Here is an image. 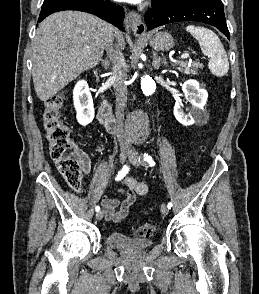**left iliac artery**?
I'll use <instances>...</instances> for the list:
<instances>
[{
    "mask_svg": "<svg viewBox=\"0 0 259 294\" xmlns=\"http://www.w3.org/2000/svg\"><path fill=\"white\" fill-rule=\"evenodd\" d=\"M139 161H141V162H148V164L150 165V166H154L155 165V162H154V160L152 159V157L151 156H149L148 154H144L143 156H141L140 158H139ZM173 205H172V203L171 202H169L168 204H167V207L170 209L171 207H172Z\"/></svg>",
    "mask_w": 259,
    "mask_h": 294,
    "instance_id": "1",
    "label": "left iliac artery"
}]
</instances>
